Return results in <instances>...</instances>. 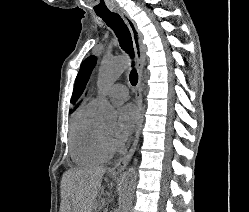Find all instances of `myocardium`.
I'll list each match as a JSON object with an SVG mask.
<instances>
[{"mask_svg": "<svg viewBox=\"0 0 249 212\" xmlns=\"http://www.w3.org/2000/svg\"><path fill=\"white\" fill-rule=\"evenodd\" d=\"M98 136H99L100 145H101L103 151H104L106 154H111V153H112V150H111V148H110V146H109L108 139L103 135L101 129L98 130Z\"/></svg>", "mask_w": 249, "mask_h": 212, "instance_id": "1", "label": "myocardium"}]
</instances>
